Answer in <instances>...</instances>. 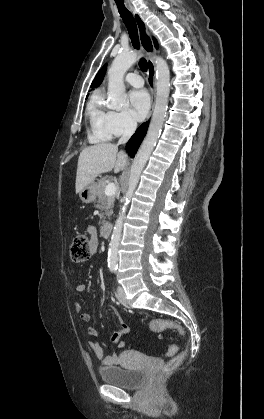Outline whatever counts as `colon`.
Wrapping results in <instances>:
<instances>
[{
  "label": "colon",
  "mask_w": 264,
  "mask_h": 419,
  "mask_svg": "<svg viewBox=\"0 0 264 419\" xmlns=\"http://www.w3.org/2000/svg\"><path fill=\"white\" fill-rule=\"evenodd\" d=\"M91 254V243L90 239L85 234H78L74 237L70 255L73 261L83 262L89 259ZM149 328L154 332H160L166 329H174L180 334H184V329L176 322L167 319H155L150 321ZM178 346L173 344L169 346L167 354L172 358L165 364L163 368L164 373H170L176 369L186 356V352L178 353Z\"/></svg>",
  "instance_id": "obj_1"
}]
</instances>
